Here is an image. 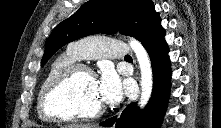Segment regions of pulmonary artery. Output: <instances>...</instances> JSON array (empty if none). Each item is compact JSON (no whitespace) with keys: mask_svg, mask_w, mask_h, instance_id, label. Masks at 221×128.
<instances>
[{"mask_svg":"<svg viewBox=\"0 0 221 128\" xmlns=\"http://www.w3.org/2000/svg\"><path fill=\"white\" fill-rule=\"evenodd\" d=\"M68 48L79 59L110 56L121 60H127L130 56L124 41L98 38L95 36H86L73 41L69 44Z\"/></svg>","mask_w":221,"mask_h":128,"instance_id":"1","label":"pulmonary artery"}]
</instances>
